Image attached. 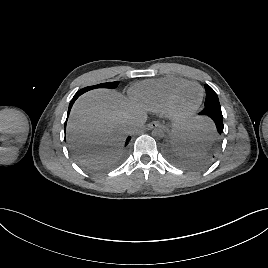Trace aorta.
<instances>
[{"instance_id":"obj_1","label":"aorta","mask_w":268,"mask_h":268,"mask_svg":"<svg viewBox=\"0 0 268 268\" xmlns=\"http://www.w3.org/2000/svg\"><path fill=\"white\" fill-rule=\"evenodd\" d=\"M152 136L156 139H161L165 136V131L162 128H156L152 131Z\"/></svg>"}]
</instances>
